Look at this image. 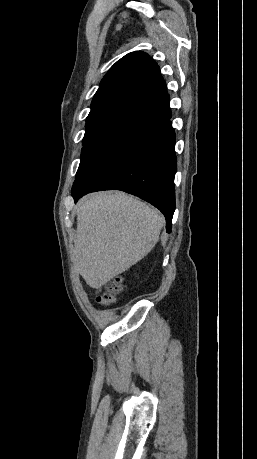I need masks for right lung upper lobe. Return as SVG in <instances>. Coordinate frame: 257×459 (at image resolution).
Wrapping results in <instances>:
<instances>
[{"label":"right lung upper lobe","mask_w":257,"mask_h":459,"mask_svg":"<svg viewBox=\"0 0 257 459\" xmlns=\"http://www.w3.org/2000/svg\"><path fill=\"white\" fill-rule=\"evenodd\" d=\"M167 95L160 69L148 54L135 51L117 61L102 79L91 111L127 109L141 112Z\"/></svg>","instance_id":"obj_1"}]
</instances>
